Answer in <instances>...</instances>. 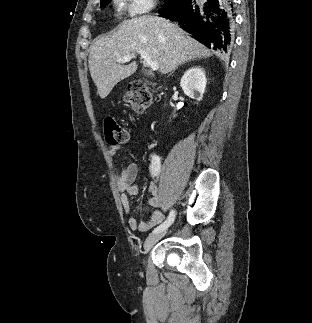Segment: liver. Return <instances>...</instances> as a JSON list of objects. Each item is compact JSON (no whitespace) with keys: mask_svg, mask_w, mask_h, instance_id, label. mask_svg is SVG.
<instances>
[{"mask_svg":"<svg viewBox=\"0 0 312 323\" xmlns=\"http://www.w3.org/2000/svg\"><path fill=\"white\" fill-rule=\"evenodd\" d=\"M136 52H147L151 60L158 64L161 74H169L188 60L212 56L211 50L191 38L176 22L158 16L125 20L111 36L96 40L89 54L91 78L102 100L115 84L137 70L136 62L121 66L117 58Z\"/></svg>","mask_w":312,"mask_h":323,"instance_id":"1","label":"liver"}]
</instances>
